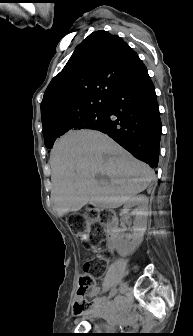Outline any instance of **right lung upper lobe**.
I'll return each instance as SVG.
<instances>
[{"label":"right lung upper lobe","mask_w":193,"mask_h":336,"mask_svg":"<svg viewBox=\"0 0 193 336\" xmlns=\"http://www.w3.org/2000/svg\"><path fill=\"white\" fill-rule=\"evenodd\" d=\"M140 62L138 54L122 38L103 30L90 34L44 93V140L69 133L78 118L106 108Z\"/></svg>","instance_id":"cb5924a9"}]
</instances>
